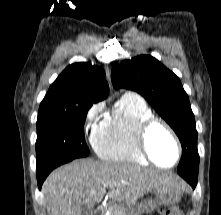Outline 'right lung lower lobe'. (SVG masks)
Segmentation results:
<instances>
[{"instance_id": "1", "label": "right lung lower lobe", "mask_w": 221, "mask_h": 215, "mask_svg": "<svg viewBox=\"0 0 221 215\" xmlns=\"http://www.w3.org/2000/svg\"><path fill=\"white\" fill-rule=\"evenodd\" d=\"M73 160H74V159H73ZM70 161H72V160H70ZM70 161H68V162H70ZM65 163H67V162H65ZM62 164H64V163L55 164V165L46 167V168H44V169H38V170H37V181H38V187H39V189H41L42 184H43L44 180L46 179V177L49 175V173H50L53 169H55L56 167H58V166H60V165H62Z\"/></svg>"}]
</instances>
